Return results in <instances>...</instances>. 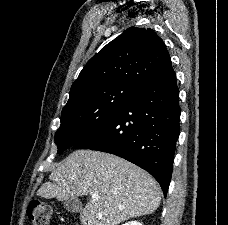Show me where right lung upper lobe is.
Wrapping results in <instances>:
<instances>
[{"mask_svg": "<svg viewBox=\"0 0 228 225\" xmlns=\"http://www.w3.org/2000/svg\"><path fill=\"white\" fill-rule=\"evenodd\" d=\"M168 63V50L152 29L130 27L87 62L71 87L67 103L107 84L124 83L139 88Z\"/></svg>", "mask_w": 228, "mask_h": 225, "instance_id": "1", "label": "right lung upper lobe"}]
</instances>
